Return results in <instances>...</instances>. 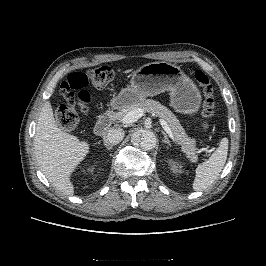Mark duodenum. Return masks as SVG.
Wrapping results in <instances>:
<instances>
[{
	"label": "duodenum",
	"mask_w": 266,
	"mask_h": 266,
	"mask_svg": "<svg viewBox=\"0 0 266 266\" xmlns=\"http://www.w3.org/2000/svg\"><path fill=\"white\" fill-rule=\"evenodd\" d=\"M113 116L112 112H106L97 120L94 126V132L96 135L102 136L108 131L111 126Z\"/></svg>",
	"instance_id": "obj_1"
}]
</instances>
